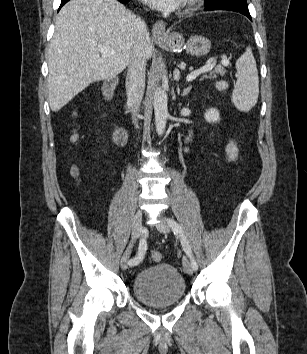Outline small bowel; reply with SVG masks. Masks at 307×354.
Listing matches in <instances>:
<instances>
[{
	"mask_svg": "<svg viewBox=\"0 0 307 354\" xmlns=\"http://www.w3.org/2000/svg\"><path fill=\"white\" fill-rule=\"evenodd\" d=\"M225 151H226V156L229 161H233L236 159L237 154H238V149H237L236 144L234 143L233 140L228 141Z\"/></svg>",
	"mask_w": 307,
	"mask_h": 354,
	"instance_id": "obj_1",
	"label": "small bowel"
}]
</instances>
